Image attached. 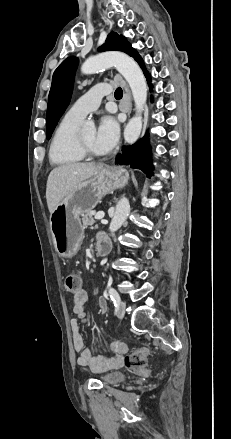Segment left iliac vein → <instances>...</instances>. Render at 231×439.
Segmentation results:
<instances>
[{
  "instance_id": "1",
  "label": "left iliac vein",
  "mask_w": 231,
  "mask_h": 439,
  "mask_svg": "<svg viewBox=\"0 0 231 439\" xmlns=\"http://www.w3.org/2000/svg\"><path fill=\"white\" fill-rule=\"evenodd\" d=\"M125 311H126V305L123 301H120L118 303V307H117V314H118L119 318L124 317Z\"/></svg>"
}]
</instances>
